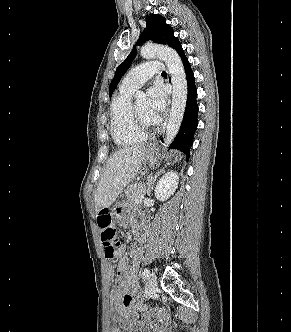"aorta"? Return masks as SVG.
Listing matches in <instances>:
<instances>
[{"mask_svg": "<svg viewBox=\"0 0 291 332\" xmlns=\"http://www.w3.org/2000/svg\"><path fill=\"white\" fill-rule=\"evenodd\" d=\"M140 55L145 59H162L166 63L171 75L173 95L163 144L164 148H166L177 135L186 108L188 89L185 70L178 53L170 47L158 44H146L141 48ZM135 98L136 100H142L145 98V94L137 92Z\"/></svg>", "mask_w": 291, "mask_h": 332, "instance_id": "aorta-1", "label": "aorta"}]
</instances>
